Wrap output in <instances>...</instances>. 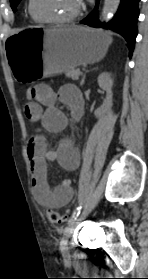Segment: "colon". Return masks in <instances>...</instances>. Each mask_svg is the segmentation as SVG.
Wrapping results in <instances>:
<instances>
[{
	"mask_svg": "<svg viewBox=\"0 0 148 279\" xmlns=\"http://www.w3.org/2000/svg\"><path fill=\"white\" fill-rule=\"evenodd\" d=\"M35 96H36V92H35L34 87H28L25 90V97H26L27 102L33 101L35 99ZM45 215H46V218L51 223H54V224H61V223L65 222L67 219V215L62 214L59 211L51 209V208H48L45 211Z\"/></svg>",
	"mask_w": 148,
	"mask_h": 279,
	"instance_id": "1",
	"label": "colon"
}]
</instances>
